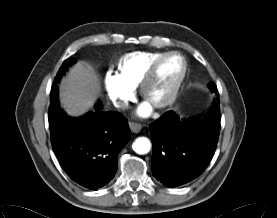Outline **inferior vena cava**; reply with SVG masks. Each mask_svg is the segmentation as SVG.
<instances>
[{
	"instance_id": "inferior-vena-cava-1",
	"label": "inferior vena cava",
	"mask_w": 277,
	"mask_h": 218,
	"mask_svg": "<svg viewBox=\"0 0 277 218\" xmlns=\"http://www.w3.org/2000/svg\"><path fill=\"white\" fill-rule=\"evenodd\" d=\"M114 106L116 108H120V109L124 110V109L128 108V102L127 101H115Z\"/></svg>"
}]
</instances>
